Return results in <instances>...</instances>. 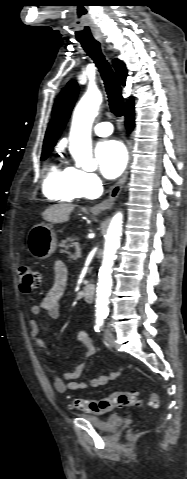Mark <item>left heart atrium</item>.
I'll list each match as a JSON object with an SVG mask.
<instances>
[{
    "mask_svg": "<svg viewBox=\"0 0 187 479\" xmlns=\"http://www.w3.org/2000/svg\"><path fill=\"white\" fill-rule=\"evenodd\" d=\"M95 154L103 175L109 179L119 176L126 166L127 153L119 141L100 142Z\"/></svg>",
    "mask_w": 187,
    "mask_h": 479,
    "instance_id": "39dd6f15",
    "label": "left heart atrium"
}]
</instances>
